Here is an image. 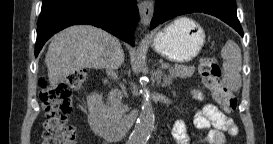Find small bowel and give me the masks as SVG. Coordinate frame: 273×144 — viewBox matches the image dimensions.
<instances>
[{
	"instance_id": "small-bowel-1",
	"label": "small bowel",
	"mask_w": 273,
	"mask_h": 144,
	"mask_svg": "<svg viewBox=\"0 0 273 144\" xmlns=\"http://www.w3.org/2000/svg\"><path fill=\"white\" fill-rule=\"evenodd\" d=\"M194 98L204 99V94L199 90L192 92ZM194 125L197 129L205 132L202 139L207 144H224L225 133L232 137L238 135V128L234 121L228 118L216 105L205 104L194 116ZM173 138L177 144H190L191 139L187 133L183 121L177 120L172 130Z\"/></svg>"
}]
</instances>
